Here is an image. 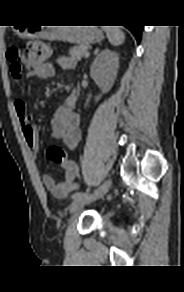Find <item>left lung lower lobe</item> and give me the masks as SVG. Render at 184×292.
Wrapping results in <instances>:
<instances>
[{"label": "left lung lower lobe", "mask_w": 184, "mask_h": 292, "mask_svg": "<svg viewBox=\"0 0 184 292\" xmlns=\"http://www.w3.org/2000/svg\"><path fill=\"white\" fill-rule=\"evenodd\" d=\"M126 27L133 33V35L137 39V42L140 43V37H141L143 26L132 25V26H126Z\"/></svg>", "instance_id": "1"}]
</instances>
